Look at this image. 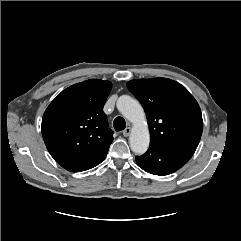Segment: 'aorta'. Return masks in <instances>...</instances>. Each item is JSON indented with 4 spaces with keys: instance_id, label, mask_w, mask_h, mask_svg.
<instances>
[{
    "instance_id": "762f6f07",
    "label": "aorta",
    "mask_w": 241,
    "mask_h": 241,
    "mask_svg": "<svg viewBox=\"0 0 241 241\" xmlns=\"http://www.w3.org/2000/svg\"><path fill=\"white\" fill-rule=\"evenodd\" d=\"M117 108L133 124L129 137L131 150L138 155L144 154L149 147L150 134L141 104L132 97L123 95L117 100Z\"/></svg>"
}]
</instances>
